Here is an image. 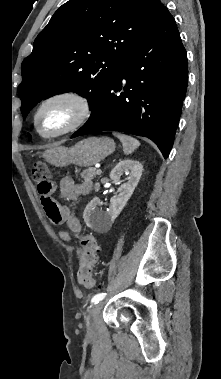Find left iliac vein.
<instances>
[{"label": "left iliac vein", "instance_id": "left-iliac-vein-1", "mask_svg": "<svg viewBox=\"0 0 221 379\" xmlns=\"http://www.w3.org/2000/svg\"><path fill=\"white\" fill-rule=\"evenodd\" d=\"M101 311V305H94L88 312L86 317V326L88 333H94L98 328L99 315Z\"/></svg>", "mask_w": 221, "mask_h": 379}]
</instances>
